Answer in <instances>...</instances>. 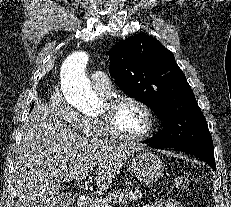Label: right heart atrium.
<instances>
[{"label": "right heart atrium", "mask_w": 231, "mask_h": 207, "mask_svg": "<svg viewBox=\"0 0 231 207\" xmlns=\"http://www.w3.org/2000/svg\"><path fill=\"white\" fill-rule=\"evenodd\" d=\"M49 102L51 109L61 123L81 132L83 131L84 117L66 101L61 90L55 89L52 91Z\"/></svg>", "instance_id": "obj_1"}]
</instances>
